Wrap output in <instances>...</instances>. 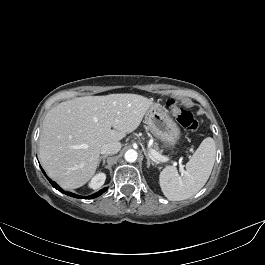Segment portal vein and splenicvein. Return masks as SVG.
I'll list each match as a JSON object with an SVG mask.
<instances>
[{
	"instance_id": "obj_1",
	"label": "portal vein and splenic vein",
	"mask_w": 265,
	"mask_h": 265,
	"mask_svg": "<svg viewBox=\"0 0 265 265\" xmlns=\"http://www.w3.org/2000/svg\"><path fill=\"white\" fill-rule=\"evenodd\" d=\"M150 153H151V155H152L155 159H157V160H159V161H161V162H166V161L169 160L167 157L162 156L161 154H159V153H158L157 151H155L154 149H150ZM179 169H180L181 173H184V172H185V171H184V166H183L181 163L179 164Z\"/></svg>"
}]
</instances>
